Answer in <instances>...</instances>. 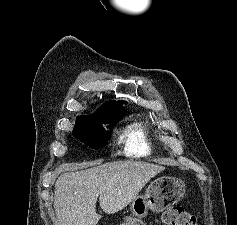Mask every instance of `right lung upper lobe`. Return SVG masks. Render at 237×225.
<instances>
[{
  "label": "right lung upper lobe",
  "instance_id": "cb5924a9",
  "mask_svg": "<svg viewBox=\"0 0 237 225\" xmlns=\"http://www.w3.org/2000/svg\"><path fill=\"white\" fill-rule=\"evenodd\" d=\"M98 111L99 112H108V113H111L113 115H125V113H126V110L121 105V103L116 102V101L108 102L106 105H103L101 107V109L98 110ZM91 117L92 116H85V117L80 116V117L77 118L76 124H85L91 119Z\"/></svg>",
  "mask_w": 237,
  "mask_h": 225
}]
</instances>
